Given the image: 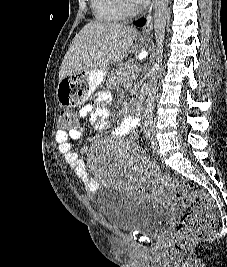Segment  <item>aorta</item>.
I'll use <instances>...</instances> for the list:
<instances>
[{
    "label": "aorta",
    "mask_w": 227,
    "mask_h": 267,
    "mask_svg": "<svg viewBox=\"0 0 227 267\" xmlns=\"http://www.w3.org/2000/svg\"><path fill=\"white\" fill-rule=\"evenodd\" d=\"M169 0H154L153 25L156 41L155 63L151 69L149 89L144 109V125L151 127L153 124V109L160 74V65L163 58V42L165 38L166 19Z\"/></svg>",
    "instance_id": "762f6f07"
}]
</instances>
